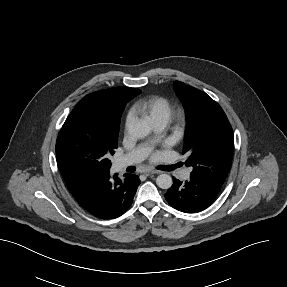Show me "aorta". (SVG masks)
<instances>
[{
	"instance_id": "obj_1",
	"label": "aorta",
	"mask_w": 287,
	"mask_h": 287,
	"mask_svg": "<svg viewBox=\"0 0 287 287\" xmlns=\"http://www.w3.org/2000/svg\"><path fill=\"white\" fill-rule=\"evenodd\" d=\"M151 131L150 126L143 122V121H137L133 124H131L128 128V132L130 136L134 138H144L146 137ZM172 178L168 174H160L156 178V184L158 187L162 189H169L172 186Z\"/></svg>"
}]
</instances>
